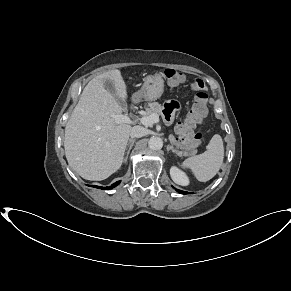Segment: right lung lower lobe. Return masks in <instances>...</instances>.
<instances>
[{
    "label": "right lung lower lobe",
    "instance_id": "right-lung-lower-lobe-1",
    "mask_svg": "<svg viewBox=\"0 0 291 291\" xmlns=\"http://www.w3.org/2000/svg\"><path fill=\"white\" fill-rule=\"evenodd\" d=\"M119 184H120V181H117V182H115L114 184H112L111 187H109V189H112L113 187H115V186H117V185H119ZM93 187H95V188H99V189H104L103 187L95 186V185H93ZM105 189H107V188H105Z\"/></svg>",
    "mask_w": 291,
    "mask_h": 291
}]
</instances>
